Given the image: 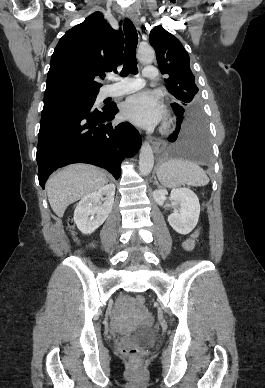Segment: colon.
Wrapping results in <instances>:
<instances>
[{"instance_id":"1","label":"colon","mask_w":265,"mask_h":388,"mask_svg":"<svg viewBox=\"0 0 265 388\" xmlns=\"http://www.w3.org/2000/svg\"><path fill=\"white\" fill-rule=\"evenodd\" d=\"M146 299L143 295L139 294L135 297V304L139 307L145 305ZM123 354L130 358L133 362H138L141 358V351L137 348H124Z\"/></svg>"}]
</instances>
